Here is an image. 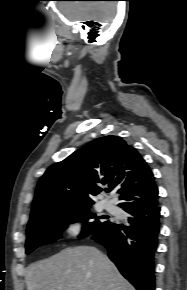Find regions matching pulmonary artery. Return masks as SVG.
<instances>
[{
	"instance_id": "1",
	"label": "pulmonary artery",
	"mask_w": 187,
	"mask_h": 290,
	"mask_svg": "<svg viewBox=\"0 0 187 290\" xmlns=\"http://www.w3.org/2000/svg\"><path fill=\"white\" fill-rule=\"evenodd\" d=\"M104 206H105V209L107 211H109V212H117V209H116L115 205L113 203H111V202L105 203Z\"/></svg>"
}]
</instances>
